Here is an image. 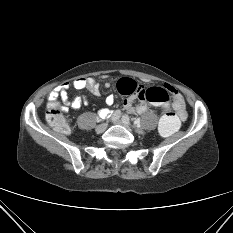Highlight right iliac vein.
Masks as SVG:
<instances>
[{
	"mask_svg": "<svg viewBox=\"0 0 233 233\" xmlns=\"http://www.w3.org/2000/svg\"><path fill=\"white\" fill-rule=\"evenodd\" d=\"M108 124L107 123H102L96 127V132L97 133H102L106 130Z\"/></svg>",
	"mask_w": 233,
	"mask_h": 233,
	"instance_id": "63e3f726",
	"label": "right iliac vein"
}]
</instances>
